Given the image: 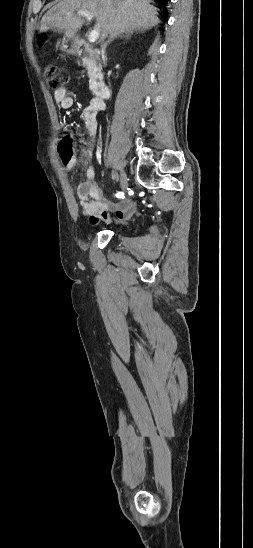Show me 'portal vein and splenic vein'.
<instances>
[{
    "label": "portal vein and splenic vein",
    "mask_w": 253,
    "mask_h": 548,
    "mask_svg": "<svg viewBox=\"0 0 253 548\" xmlns=\"http://www.w3.org/2000/svg\"><path fill=\"white\" fill-rule=\"evenodd\" d=\"M77 14L80 15V16L85 17L88 21H91L93 19V15L89 11H86V10H79V11H77ZM98 37H99V30L96 27L90 32V34L88 36V41L90 43H95L97 41Z\"/></svg>",
    "instance_id": "portal-vein-and-splenic-vein-1"
}]
</instances>
